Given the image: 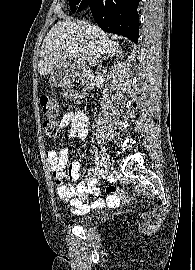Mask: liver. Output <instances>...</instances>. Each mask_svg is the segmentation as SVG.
Instances as JSON below:
<instances>
[{
  "label": "liver",
  "mask_w": 195,
  "mask_h": 270,
  "mask_svg": "<svg viewBox=\"0 0 195 270\" xmlns=\"http://www.w3.org/2000/svg\"><path fill=\"white\" fill-rule=\"evenodd\" d=\"M92 48L97 50L99 57L121 52L119 43L109 39L108 34L98 26L82 20L59 21L44 39L38 72L43 76L51 73L55 67L66 61L72 49L78 51V64L84 66L92 55Z\"/></svg>",
  "instance_id": "liver-1"
}]
</instances>
